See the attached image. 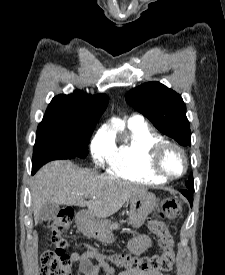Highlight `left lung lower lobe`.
Returning <instances> with one entry per match:
<instances>
[{
  "label": "left lung lower lobe",
  "mask_w": 225,
  "mask_h": 275,
  "mask_svg": "<svg viewBox=\"0 0 225 275\" xmlns=\"http://www.w3.org/2000/svg\"><path fill=\"white\" fill-rule=\"evenodd\" d=\"M193 192H194V189H188V190L182 191V194L189 200L191 206L193 203V197H192Z\"/></svg>",
  "instance_id": "1"
}]
</instances>
